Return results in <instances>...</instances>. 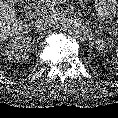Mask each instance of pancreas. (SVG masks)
<instances>
[{"instance_id":"pancreas-1","label":"pancreas","mask_w":118,"mask_h":118,"mask_svg":"<svg viewBox=\"0 0 118 118\" xmlns=\"http://www.w3.org/2000/svg\"><path fill=\"white\" fill-rule=\"evenodd\" d=\"M42 1H44V0H42ZM41 6L44 7V6H46V4H44V2H42ZM98 30H99L100 33L106 34L108 36H111V35H113L115 33L114 26L111 25V24H107L105 22H102V23L99 24ZM116 33L118 34V32H116Z\"/></svg>"}]
</instances>
